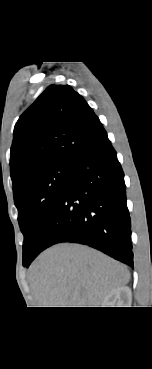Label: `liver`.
Segmentation results:
<instances>
[{
	"instance_id": "liver-1",
	"label": "liver",
	"mask_w": 152,
	"mask_h": 369,
	"mask_svg": "<svg viewBox=\"0 0 152 369\" xmlns=\"http://www.w3.org/2000/svg\"><path fill=\"white\" fill-rule=\"evenodd\" d=\"M39 307H98L130 279L126 266L79 244H58L44 251L29 268Z\"/></svg>"
}]
</instances>
